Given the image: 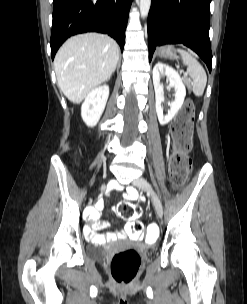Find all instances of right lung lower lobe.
<instances>
[{"mask_svg": "<svg viewBox=\"0 0 247 304\" xmlns=\"http://www.w3.org/2000/svg\"><path fill=\"white\" fill-rule=\"evenodd\" d=\"M132 0H53L51 56L72 35L101 32L113 37L123 51Z\"/></svg>", "mask_w": 247, "mask_h": 304, "instance_id": "98d812e1", "label": "right lung lower lobe"}]
</instances>
